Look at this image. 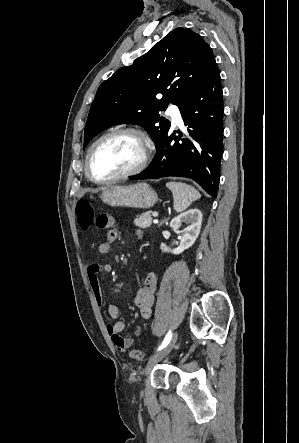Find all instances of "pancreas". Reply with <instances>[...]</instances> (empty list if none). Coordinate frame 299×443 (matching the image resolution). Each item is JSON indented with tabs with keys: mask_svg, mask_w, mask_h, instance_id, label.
Segmentation results:
<instances>
[{
	"mask_svg": "<svg viewBox=\"0 0 299 443\" xmlns=\"http://www.w3.org/2000/svg\"><path fill=\"white\" fill-rule=\"evenodd\" d=\"M151 211H147L142 213L139 216H136L134 219V223L141 228H148L152 225L153 219L151 217Z\"/></svg>",
	"mask_w": 299,
	"mask_h": 443,
	"instance_id": "1",
	"label": "pancreas"
}]
</instances>
